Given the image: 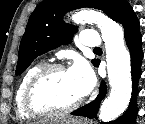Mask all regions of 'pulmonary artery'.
I'll return each mask as SVG.
<instances>
[{
    "label": "pulmonary artery",
    "mask_w": 145,
    "mask_h": 124,
    "mask_svg": "<svg viewBox=\"0 0 145 124\" xmlns=\"http://www.w3.org/2000/svg\"><path fill=\"white\" fill-rule=\"evenodd\" d=\"M81 40L84 46L89 48H96L101 45L100 35L94 29L84 30L81 34Z\"/></svg>",
    "instance_id": "pulmonary-artery-1"
}]
</instances>
